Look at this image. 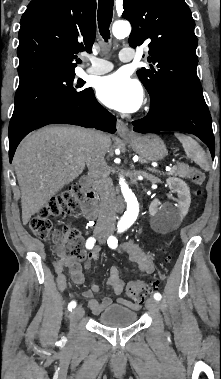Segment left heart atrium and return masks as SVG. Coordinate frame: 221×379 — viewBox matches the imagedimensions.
<instances>
[{
	"label": "left heart atrium",
	"mask_w": 221,
	"mask_h": 379,
	"mask_svg": "<svg viewBox=\"0 0 221 379\" xmlns=\"http://www.w3.org/2000/svg\"><path fill=\"white\" fill-rule=\"evenodd\" d=\"M96 93L104 105L124 113L136 111L143 101L140 83L124 72H117L100 79Z\"/></svg>",
	"instance_id": "obj_1"
}]
</instances>
